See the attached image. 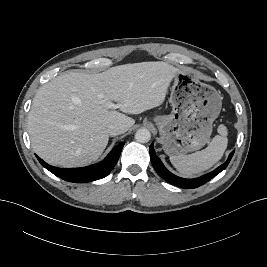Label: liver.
Masks as SVG:
<instances>
[{
  "mask_svg": "<svg viewBox=\"0 0 267 267\" xmlns=\"http://www.w3.org/2000/svg\"><path fill=\"white\" fill-rule=\"evenodd\" d=\"M176 71L158 61L119 65L99 74H60L34 96L28 115L33 150L47 163L67 168L97 160L109 141L107 126L118 123L125 133L135 120L123 113L140 114L161 105Z\"/></svg>",
  "mask_w": 267,
  "mask_h": 267,
  "instance_id": "1",
  "label": "liver"
}]
</instances>
